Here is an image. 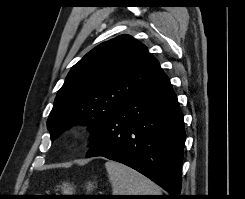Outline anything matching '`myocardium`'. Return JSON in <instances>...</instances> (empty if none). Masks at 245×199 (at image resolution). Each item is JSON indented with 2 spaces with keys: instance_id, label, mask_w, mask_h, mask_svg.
<instances>
[{
  "instance_id": "myocardium-1",
  "label": "myocardium",
  "mask_w": 245,
  "mask_h": 199,
  "mask_svg": "<svg viewBox=\"0 0 245 199\" xmlns=\"http://www.w3.org/2000/svg\"><path fill=\"white\" fill-rule=\"evenodd\" d=\"M71 137L76 142H82L85 139L86 134H85L84 130H82L80 128H74L71 131Z\"/></svg>"
}]
</instances>
